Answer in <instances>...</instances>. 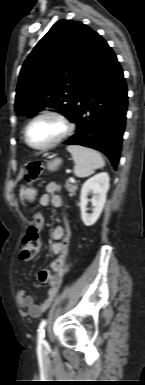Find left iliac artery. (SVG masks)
<instances>
[{
  "instance_id": "1",
  "label": "left iliac artery",
  "mask_w": 145,
  "mask_h": 385,
  "mask_svg": "<svg viewBox=\"0 0 145 385\" xmlns=\"http://www.w3.org/2000/svg\"><path fill=\"white\" fill-rule=\"evenodd\" d=\"M47 324V321L44 319L41 321L40 325H39V328H38V343L39 344H44L45 343V340H44V336H45V326Z\"/></svg>"
}]
</instances>
